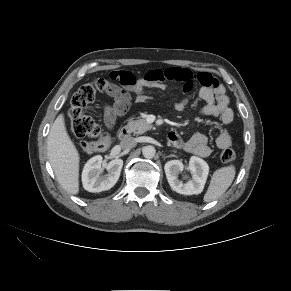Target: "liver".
Wrapping results in <instances>:
<instances>
[{
    "instance_id": "1",
    "label": "liver",
    "mask_w": 291,
    "mask_h": 291,
    "mask_svg": "<svg viewBox=\"0 0 291 291\" xmlns=\"http://www.w3.org/2000/svg\"><path fill=\"white\" fill-rule=\"evenodd\" d=\"M47 155L60 185L70 194L79 192V153L70 139L64 114L57 116L47 138Z\"/></svg>"
}]
</instances>
